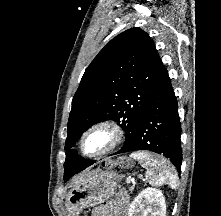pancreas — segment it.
I'll return each mask as SVG.
<instances>
[{
  "mask_svg": "<svg viewBox=\"0 0 221 216\" xmlns=\"http://www.w3.org/2000/svg\"><path fill=\"white\" fill-rule=\"evenodd\" d=\"M133 189H134V187L132 186V187H130V189H129V190H130V191H132Z\"/></svg>",
  "mask_w": 221,
  "mask_h": 216,
  "instance_id": "pancreas-1",
  "label": "pancreas"
}]
</instances>
